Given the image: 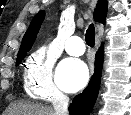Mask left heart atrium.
I'll list each match as a JSON object with an SVG mask.
<instances>
[{"instance_id":"obj_1","label":"left heart atrium","mask_w":131,"mask_h":115,"mask_svg":"<svg viewBox=\"0 0 131 115\" xmlns=\"http://www.w3.org/2000/svg\"><path fill=\"white\" fill-rule=\"evenodd\" d=\"M89 69L85 62L75 58H67L58 66L56 80L66 92H76L87 82Z\"/></svg>"}]
</instances>
